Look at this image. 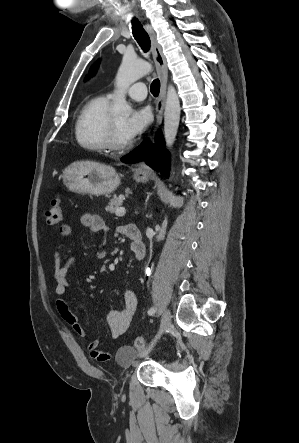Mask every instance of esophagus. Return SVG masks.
<instances>
[{"label": "esophagus", "mask_w": 299, "mask_h": 443, "mask_svg": "<svg viewBox=\"0 0 299 443\" xmlns=\"http://www.w3.org/2000/svg\"><path fill=\"white\" fill-rule=\"evenodd\" d=\"M145 28L150 35L152 54L161 80L160 94L156 105V126L158 127L163 118V111L166 98V82H167V63L162 48L157 41L156 34L150 24H146ZM137 172H148L149 168L145 162H141L136 168Z\"/></svg>", "instance_id": "obj_1"}]
</instances>
